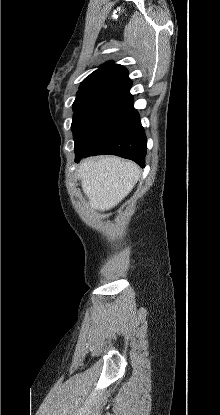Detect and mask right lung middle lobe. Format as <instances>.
<instances>
[{
	"mask_svg": "<svg viewBox=\"0 0 220 415\" xmlns=\"http://www.w3.org/2000/svg\"><path fill=\"white\" fill-rule=\"evenodd\" d=\"M131 85L104 79L82 83L73 103L75 150L87 149L110 118L133 99Z\"/></svg>",
	"mask_w": 220,
	"mask_h": 415,
	"instance_id": "dd1d6c3e",
	"label": "right lung middle lobe"
}]
</instances>
